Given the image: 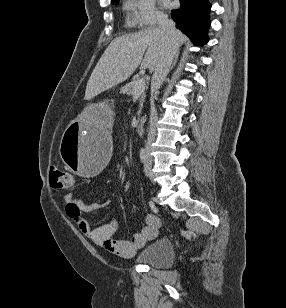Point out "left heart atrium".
<instances>
[{
	"mask_svg": "<svg viewBox=\"0 0 286 308\" xmlns=\"http://www.w3.org/2000/svg\"><path fill=\"white\" fill-rule=\"evenodd\" d=\"M161 3H162L164 6H169L170 0H161Z\"/></svg>",
	"mask_w": 286,
	"mask_h": 308,
	"instance_id": "1",
	"label": "left heart atrium"
}]
</instances>
